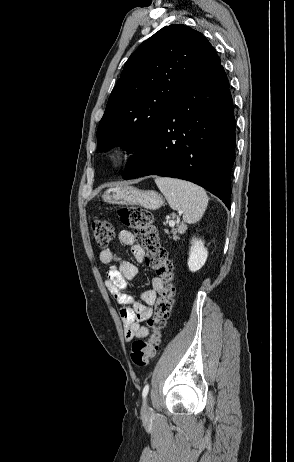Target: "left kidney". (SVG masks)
Here are the masks:
<instances>
[{
    "label": "left kidney",
    "mask_w": 294,
    "mask_h": 462,
    "mask_svg": "<svg viewBox=\"0 0 294 462\" xmlns=\"http://www.w3.org/2000/svg\"><path fill=\"white\" fill-rule=\"evenodd\" d=\"M208 257V251L201 239L193 238L188 258V267L191 272H196L203 267Z\"/></svg>",
    "instance_id": "obj_1"
}]
</instances>
